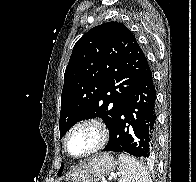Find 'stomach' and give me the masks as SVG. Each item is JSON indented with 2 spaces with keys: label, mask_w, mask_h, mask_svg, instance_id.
I'll return each mask as SVG.
<instances>
[{
  "label": "stomach",
  "mask_w": 196,
  "mask_h": 182,
  "mask_svg": "<svg viewBox=\"0 0 196 182\" xmlns=\"http://www.w3.org/2000/svg\"><path fill=\"white\" fill-rule=\"evenodd\" d=\"M117 162L107 154H97L84 161L73 173L66 177L65 182H94L114 171Z\"/></svg>",
  "instance_id": "0dacf381"
}]
</instances>
